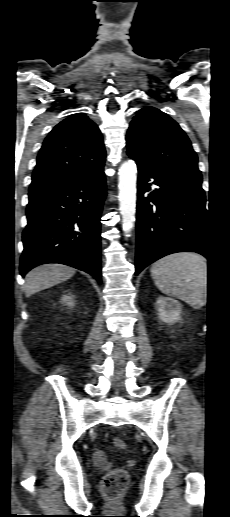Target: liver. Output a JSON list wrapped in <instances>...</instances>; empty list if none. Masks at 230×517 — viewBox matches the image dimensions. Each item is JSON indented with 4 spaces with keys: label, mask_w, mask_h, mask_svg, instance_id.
<instances>
[{
    "label": "liver",
    "mask_w": 230,
    "mask_h": 517,
    "mask_svg": "<svg viewBox=\"0 0 230 517\" xmlns=\"http://www.w3.org/2000/svg\"><path fill=\"white\" fill-rule=\"evenodd\" d=\"M74 274V268L62 264H44L35 267L25 277V294L29 297L70 279Z\"/></svg>",
    "instance_id": "6515ba94"
}]
</instances>
